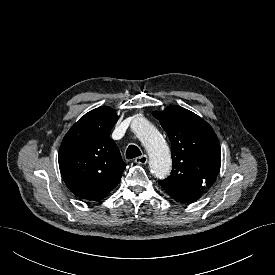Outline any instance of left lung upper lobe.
Segmentation results:
<instances>
[{"label":"left lung upper lobe","instance_id":"1","mask_svg":"<svg viewBox=\"0 0 275 275\" xmlns=\"http://www.w3.org/2000/svg\"><path fill=\"white\" fill-rule=\"evenodd\" d=\"M171 141V175L162 188L178 202L199 199L216 180L221 150L212 127L195 113L176 105L154 111Z\"/></svg>","mask_w":275,"mask_h":275}]
</instances>
